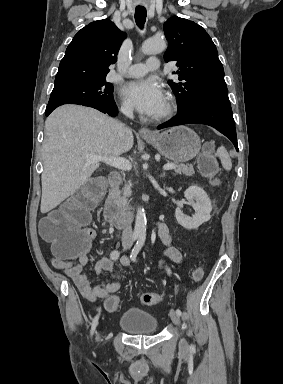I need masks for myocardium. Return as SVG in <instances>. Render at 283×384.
Returning a JSON list of instances; mask_svg holds the SVG:
<instances>
[{
	"mask_svg": "<svg viewBox=\"0 0 283 384\" xmlns=\"http://www.w3.org/2000/svg\"><path fill=\"white\" fill-rule=\"evenodd\" d=\"M172 113V105L170 101H166L162 110L154 117V120L159 121L168 118Z\"/></svg>",
	"mask_w": 283,
	"mask_h": 384,
	"instance_id": "obj_1",
	"label": "myocardium"
}]
</instances>
